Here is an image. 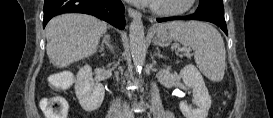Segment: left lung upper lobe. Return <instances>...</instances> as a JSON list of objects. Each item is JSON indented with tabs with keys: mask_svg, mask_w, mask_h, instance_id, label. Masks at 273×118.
Here are the masks:
<instances>
[{
	"mask_svg": "<svg viewBox=\"0 0 273 118\" xmlns=\"http://www.w3.org/2000/svg\"><path fill=\"white\" fill-rule=\"evenodd\" d=\"M196 12L214 14L224 18V7L222 0H200Z\"/></svg>",
	"mask_w": 273,
	"mask_h": 118,
	"instance_id": "obj_1",
	"label": "left lung upper lobe"
}]
</instances>
